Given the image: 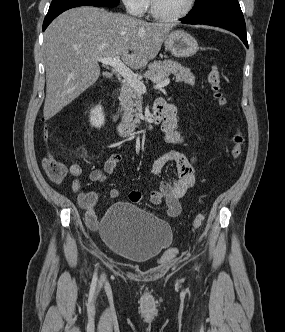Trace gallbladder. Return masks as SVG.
I'll use <instances>...</instances> for the list:
<instances>
[{"label":"gallbladder","mask_w":285,"mask_h":332,"mask_svg":"<svg viewBox=\"0 0 285 332\" xmlns=\"http://www.w3.org/2000/svg\"><path fill=\"white\" fill-rule=\"evenodd\" d=\"M105 76H109V74L106 73Z\"/></svg>","instance_id":"1"}]
</instances>
